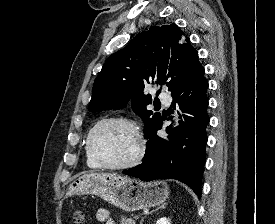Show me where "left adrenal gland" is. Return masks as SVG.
I'll return each instance as SVG.
<instances>
[{
	"label": "left adrenal gland",
	"instance_id": "obj_1",
	"mask_svg": "<svg viewBox=\"0 0 275 224\" xmlns=\"http://www.w3.org/2000/svg\"><path fill=\"white\" fill-rule=\"evenodd\" d=\"M165 206L164 205H162L161 207H159L158 209H161V208H164ZM158 209H156V210H154V211H157ZM154 211H152V212H154ZM142 224V223H141Z\"/></svg>",
	"mask_w": 275,
	"mask_h": 224
}]
</instances>
